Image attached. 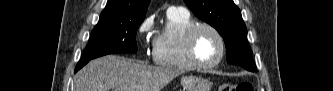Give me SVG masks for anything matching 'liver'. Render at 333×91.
Instances as JSON below:
<instances>
[{"mask_svg": "<svg viewBox=\"0 0 333 91\" xmlns=\"http://www.w3.org/2000/svg\"><path fill=\"white\" fill-rule=\"evenodd\" d=\"M182 73L107 55L89 62L74 77L76 91H161Z\"/></svg>", "mask_w": 333, "mask_h": 91, "instance_id": "1", "label": "liver"}]
</instances>
